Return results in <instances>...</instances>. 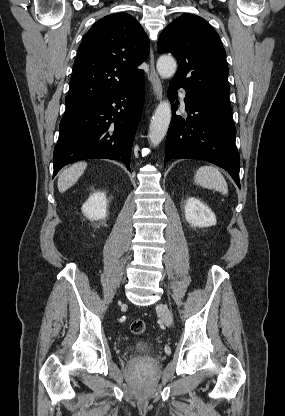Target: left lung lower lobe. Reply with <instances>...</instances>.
<instances>
[{
  "mask_svg": "<svg viewBox=\"0 0 285 416\" xmlns=\"http://www.w3.org/2000/svg\"><path fill=\"white\" fill-rule=\"evenodd\" d=\"M177 88L180 86L171 81L167 93L171 102L177 99ZM184 101L188 117L182 119L173 111L166 140L165 165L171 159L205 160L224 168L240 188V158L235 146L236 129L230 106L198 99L187 92Z\"/></svg>",
  "mask_w": 285,
  "mask_h": 416,
  "instance_id": "0a47b994",
  "label": "left lung lower lobe"
}]
</instances>
